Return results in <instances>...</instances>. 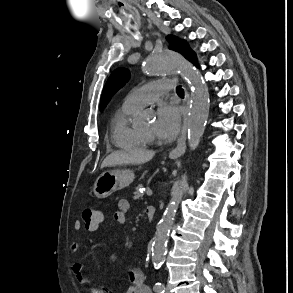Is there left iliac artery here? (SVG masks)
Returning <instances> with one entry per match:
<instances>
[{"mask_svg": "<svg viewBox=\"0 0 293 293\" xmlns=\"http://www.w3.org/2000/svg\"><path fill=\"white\" fill-rule=\"evenodd\" d=\"M154 291L156 293H164L165 292V287L161 282H156L154 285Z\"/></svg>", "mask_w": 293, "mask_h": 293, "instance_id": "44dca946", "label": "left iliac artery"}]
</instances>
